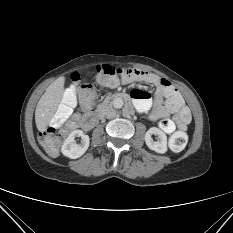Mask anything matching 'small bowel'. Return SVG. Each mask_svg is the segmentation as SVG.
Returning a JSON list of instances; mask_svg holds the SVG:
<instances>
[{
	"mask_svg": "<svg viewBox=\"0 0 233 233\" xmlns=\"http://www.w3.org/2000/svg\"><path fill=\"white\" fill-rule=\"evenodd\" d=\"M130 71L134 69H129ZM139 74L136 76H123L121 82L132 84L135 82H146L155 86L154 96L143 90H133L131 96L139 112H149V118L160 120V128L167 134L176 130H185L191 121L189 109L185 106L184 101L173 86L172 92L169 93L162 85V78L159 76L136 70ZM94 95L91 98L83 99L80 102L81 109L86 112L91 109Z\"/></svg>",
	"mask_w": 233,
	"mask_h": 233,
	"instance_id": "1",
	"label": "small bowel"
}]
</instances>
